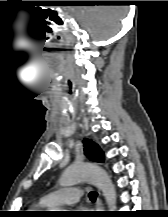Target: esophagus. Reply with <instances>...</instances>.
Wrapping results in <instances>:
<instances>
[{
  "instance_id": "esophagus-1",
  "label": "esophagus",
  "mask_w": 168,
  "mask_h": 217,
  "mask_svg": "<svg viewBox=\"0 0 168 217\" xmlns=\"http://www.w3.org/2000/svg\"><path fill=\"white\" fill-rule=\"evenodd\" d=\"M97 208L98 209H102L103 208V204H102V201H101L100 198H98V200H97Z\"/></svg>"
}]
</instances>
